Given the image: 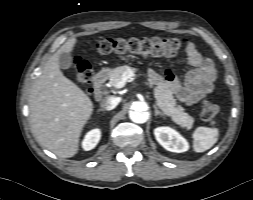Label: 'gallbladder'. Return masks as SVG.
Masks as SVG:
<instances>
[{
	"label": "gallbladder",
	"mask_w": 253,
	"mask_h": 200,
	"mask_svg": "<svg viewBox=\"0 0 253 200\" xmlns=\"http://www.w3.org/2000/svg\"><path fill=\"white\" fill-rule=\"evenodd\" d=\"M59 65L62 69H69L72 66V58L68 53H62L59 58Z\"/></svg>",
	"instance_id": "gallbladder-1"
}]
</instances>
